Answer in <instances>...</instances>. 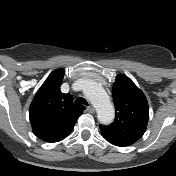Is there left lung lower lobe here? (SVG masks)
Wrapping results in <instances>:
<instances>
[{"mask_svg": "<svg viewBox=\"0 0 176 176\" xmlns=\"http://www.w3.org/2000/svg\"><path fill=\"white\" fill-rule=\"evenodd\" d=\"M105 139H106L108 142H110L111 144H113V145L120 146V147H124V145H122V144H120V143H117V142L112 141V140L107 139V138H105Z\"/></svg>", "mask_w": 176, "mask_h": 176, "instance_id": "1", "label": "left lung lower lobe"}]
</instances>
